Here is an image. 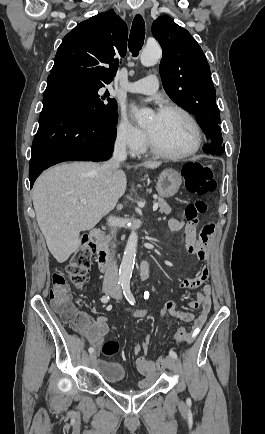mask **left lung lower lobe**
<instances>
[{
	"instance_id": "left-lung-lower-lobe-1",
	"label": "left lung lower lobe",
	"mask_w": 265,
	"mask_h": 434,
	"mask_svg": "<svg viewBox=\"0 0 265 434\" xmlns=\"http://www.w3.org/2000/svg\"><path fill=\"white\" fill-rule=\"evenodd\" d=\"M204 151L206 153L214 154V155H221L224 152V148H215L209 144L204 145L203 147Z\"/></svg>"
}]
</instances>
